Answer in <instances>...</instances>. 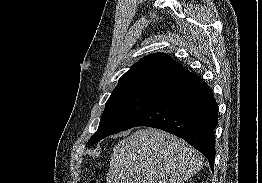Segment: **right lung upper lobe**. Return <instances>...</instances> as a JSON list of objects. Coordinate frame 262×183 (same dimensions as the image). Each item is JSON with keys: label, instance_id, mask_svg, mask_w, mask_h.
<instances>
[{"label": "right lung upper lobe", "instance_id": "right-lung-upper-lobe-1", "mask_svg": "<svg viewBox=\"0 0 262 183\" xmlns=\"http://www.w3.org/2000/svg\"><path fill=\"white\" fill-rule=\"evenodd\" d=\"M189 73L188 69L181 66L164 53L145 56L135 63L119 80L113 93L155 90Z\"/></svg>", "mask_w": 262, "mask_h": 183}]
</instances>
